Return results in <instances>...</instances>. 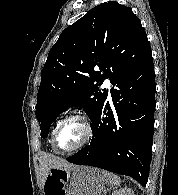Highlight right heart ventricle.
<instances>
[{
    "instance_id": "obj_1",
    "label": "right heart ventricle",
    "mask_w": 178,
    "mask_h": 195,
    "mask_svg": "<svg viewBox=\"0 0 178 195\" xmlns=\"http://www.w3.org/2000/svg\"><path fill=\"white\" fill-rule=\"evenodd\" d=\"M55 127H56V126H55ZM55 127H54L53 130H52V134H53V131H54ZM52 134H51V137H52Z\"/></svg>"
}]
</instances>
